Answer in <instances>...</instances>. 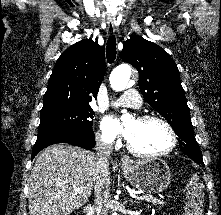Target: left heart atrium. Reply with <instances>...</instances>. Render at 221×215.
Instances as JSON below:
<instances>
[{
	"instance_id": "left-heart-atrium-1",
	"label": "left heart atrium",
	"mask_w": 221,
	"mask_h": 215,
	"mask_svg": "<svg viewBox=\"0 0 221 215\" xmlns=\"http://www.w3.org/2000/svg\"><path fill=\"white\" fill-rule=\"evenodd\" d=\"M103 127L106 135L113 136L117 133H122L126 138H129L130 131L128 128H121L119 123L112 118H107L103 122Z\"/></svg>"
}]
</instances>
